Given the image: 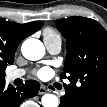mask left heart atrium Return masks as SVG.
<instances>
[{"label": "left heart atrium", "mask_w": 107, "mask_h": 107, "mask_svg": "<svg viewBox=\"0 0 107 107\" xmlns=\"http://www.w3.org/2000/svg\"><path fill=\"white\" fill-rule=\"evenodd\" d=\"M52 71L50 68L48 67H42L40 69H38L36 71V75L40 78V79H47L50 77Z\"/></svg>", "instance_id": "1"}]
</instances>
